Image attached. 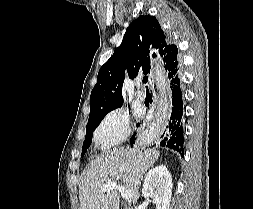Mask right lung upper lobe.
<instances>
[{
	"mask_svg": "<svg viewBox=\"0 0 253 209\" xmlns=\"http://www.w3.org/2000/svg\"><path fill=\"white\" fill-rule=\"evenodd\" d=\"M159 54L169 75L178 70V49L150 15L139 16L127 28L122 43L100 68L90 96V117L114 110L123 104L125 69L130 78L150 73V51Z\"/></svg>",
	"mask_w": 253,
	"mask_h": 209,
	"instance_id": "1",
	"label": "right lung upper lobe"
}]
</instances>
